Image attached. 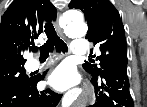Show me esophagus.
Wrapping results in <instances>:
<instances>
[{
    "label": "esophagus",
    "instance_id": "1",
    "mask_svg": "<svg viewBox=\"0 0 147 107\" xmlns=\"http://www.w3.org/2000/svg\"><path fill=\"white\" fill-rule=\"evenodd\" d=\"M59 21H60V14L57 15V18L55 20V27H56V30H57L58 34L61 37L65 38V35L63 33V30H62V27L59 24ZM87 92L89 94V102L93 103L94 102L93 90L91 88H88Z\"/></svg>",
    "mask_w": 147,
    "mask_h": 107
}]
</instances>
